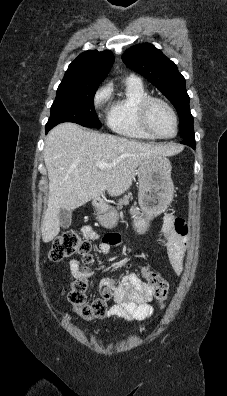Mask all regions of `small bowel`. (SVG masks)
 I'll use <instances>...</instances> for the list:
<instances>
[{"instance_id":"small-bowel-1","label":"small bowel","mask_w":227,"mask_h":396,"mask_svg":"<svg viewBox=\"0 0 227 396\" xmlns=\"http://www.w3.org/2000/svg\"><path fill=\"white\" fill-rule=\"evenodd\" d=\"M138 216L137 211H133ZM162 238L167 249L170 264L176 274H181L184 266V257L188 245V227L184 220L171 214L163 217L161 227ZM83 234L89 238H96V233L88 227ZM120 243L118 234H107L99 246L102 254L109 253L110 249ZM70 273L74 278L85 277L92 279V271H82L77 260L70 262ZM98 293L108 289L113 293L115 304L107 311L108 318H118L127 321H142L153 315L154 309L150 302L154 297V289L147 282L139 279L135 273H125L121 280L115 283L111 279H102L96 283Z\"/></svg>"}]
</instances>
